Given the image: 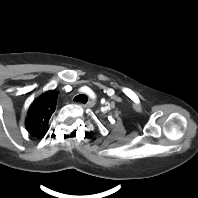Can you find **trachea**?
Wrapping results in <instances>:
<instances>
[{
  "instance_id": "3493384b",
  "label": "trachea",
  "mask_w": 198,
  "mask_h": 198,
  "mask_svg": "<svg viewBox=\"0 0 198 198\" xmlns=\"http://www.w3.org/2000/svg\"><path fill=\"white\" fill-rule=\"evenodd\" d=\"M74 101L81 102V103L85 104L88 101V97L84 94H80L74 98Z\"/></svg>"
}]
</instances>
